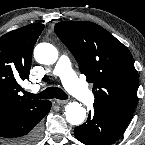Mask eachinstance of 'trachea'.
I'll use <instances>...</instances> for the list:
<instances>
[{"label": "trachea", "instance_id": "3493384b", "mask_svg": "<svg viewBox=\"0 0 145 145\" xmlns=\"http://www.w3.org/2000/svg\"><path fill=\"white\" fill-rule=\"evenodd\" d=\"M25 95L29 99H52V98H57L62 100L68 99V95L58 87H49L38 94L25 92Z\"/></svg>", "mask_w": 145, "mask_h": 145}]
</instances>
